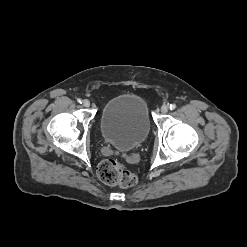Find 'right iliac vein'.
<instances>
[{"instance_id":"63e3f726","label":"right iliac vein","mask_w":247,"mask_h":247,"mask_svg":"<svg viewBox=\"0 0 247 247\" xmlns=\"http://www.w3.org/2000/svg\"><path fill=\"white\" fill-rule=\"evenodd\" d=\"M84 107H89L90 106V101L88 99H84L82 102Z\"/></svg>"}]
</instances>
